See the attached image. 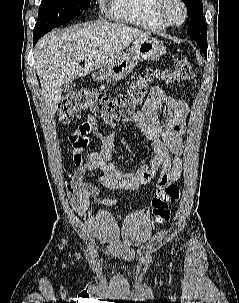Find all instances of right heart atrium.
Returning a JSON list of instances; mask_svg holds the SVG:
<instances>
[{"label":"right heart atrium","mask_w":239,"mask_h":303,"mask_svg":"<svg viewBox=\"0 0 239 303\" xmlns=\"http://www.w3.org/2000/svg\"><path fill=\"white\" fill-rule=\"evenodd\" d=\"M98 1H99V6H100L101 8H104L105 5H106L107 0H98Z\"/></svg>","instance_id":"obj_1"}]
</instances>
